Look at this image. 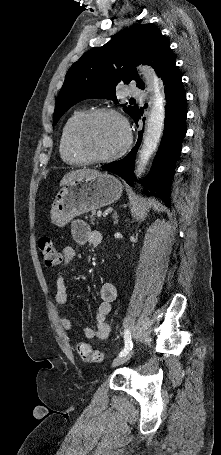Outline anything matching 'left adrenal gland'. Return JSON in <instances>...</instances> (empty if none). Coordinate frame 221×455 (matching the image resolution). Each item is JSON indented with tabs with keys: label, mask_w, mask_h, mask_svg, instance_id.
Listing matches in <instances>:
<instances>
[{
	"label": "left adrenal gland",
	"mask_w": 221,
	"mask_h": 455,
	"mask_svg": "<svg viewBox=\"0 0 221 455\" xmlns=\"http://www.w3.org/2000/svg\"><path fill=\"white\" fill-rule=\"evenodd\" d=\"M113 218H114V224L116 225L118 223V215H117L116 211L113 214Z\"/></svg>",
	"instance_id": "1"
}]
</instances>
